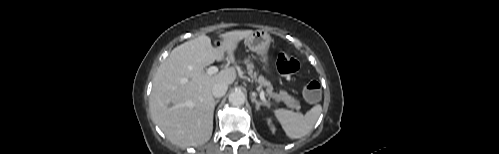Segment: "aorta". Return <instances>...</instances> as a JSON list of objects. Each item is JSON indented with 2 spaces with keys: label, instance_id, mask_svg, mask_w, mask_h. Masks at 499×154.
Instances as JSON below:
<instances>
[{
  "label": "aorta",
  "instance_id": "1",
  "mask_svg": "<svg viewBox=\"0 0 499 154\" xmlns=\"http://www.w3.org/2000/svg\"><path fill=\"white\" fill-rule=\"evenodd\" d=\"M228 99L232 105L240 106L245 103L246 97L242 91H234L230 93Z\"/></svg>",
  "mask_w": 499,
  "mask_h": 154
}]
</instances>
